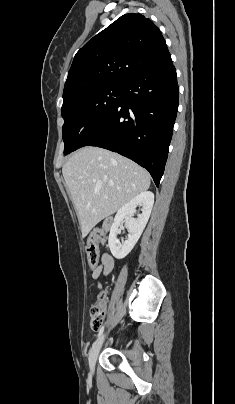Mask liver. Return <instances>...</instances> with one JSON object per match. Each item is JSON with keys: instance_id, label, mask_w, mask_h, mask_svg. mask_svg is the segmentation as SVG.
<instances>
[{"instance_id": "liver-1", "label": "liver", "mask_w": 235, "mask_h": 404, "mask_svg": "<svg viewBox=\"0 0 235 404\" xmlns=\"http://www.w3.org/2000/svg\"><path fill=\"white\" fill-rule=\"evenodd\" d=\"M62 173L83 237L150 187L149 173L138 164L92 146L75 152L63 165Z\"/></svg>"}]
</instances>
